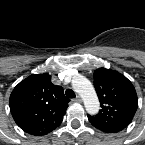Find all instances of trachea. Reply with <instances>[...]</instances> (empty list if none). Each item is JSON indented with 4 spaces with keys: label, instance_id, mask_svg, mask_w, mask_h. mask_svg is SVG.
<instances>
[{
    "label": "trachea",
    "instance_id": "trachea-1",
    "mask_svg": "<svg viewBox=\"0 0 145 145\" xmlns=\"http://www.w3.org/2000/svg\"><path fill=\"white\" fill-rule=\"evenodd\" d=\"M65 94L68 98H75L76 97V94L72 89H67Z\"/></svg>",
    "mask_w": 145,
    "mask_h": 145
}]
</instances>
